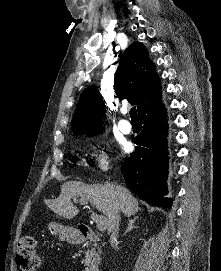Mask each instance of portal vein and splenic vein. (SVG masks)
<instances>
[{
	"instance_id": "1",
	"label": "portal vein and splenic vein",
	"mask_w": 221,
	"mask_h": 271,
	"mask_svg": "<svg viewBox=\"0 0 221 271\" xmlns=\"http://www.w3.org/2000/svg\"><path fill=\"white\" fill-rule=\"evenodd\" d=\"M94 221H96L97 223V227L99 229V231H104V229H106L107 227V217H95Z\"/></svg>"
}]
</instances>
